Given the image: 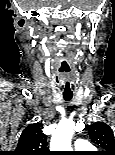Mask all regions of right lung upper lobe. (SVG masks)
<instances>
[{"instance_id":"cb5924a9","label":"right lung upper lobe","mask_w":115,"mask_h":155,"mask_svg":"<svg viewBox=\"0 0 115 155\" xmlns=\"http://www.w3.org/2000/svg\"><path fill=\"white\" fill-rule=\"evenodd\" d=\"M42 126L39 122L28 125L22 132L13 155H50Z\"/></svg>"}]
</instances>
